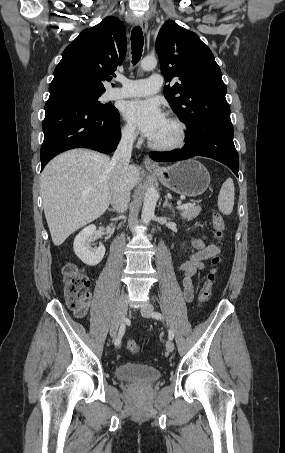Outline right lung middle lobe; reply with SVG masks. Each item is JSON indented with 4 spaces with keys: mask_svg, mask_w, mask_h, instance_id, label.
<instances>
[{
    "mask_svg": "<svg viewBox=\"0 0 285 453\" xmlns=\"http://www.w3.org/2000/svg\"><path fill=\"white\" fill-rule=\"evenodd\" d=\"M73 94L76 98L80 99L84 104H86L91 110L100 114H110L115 112L117 109L108 104H101L99 102V97L102 93H93V92H84V91H72L69 92Z\"/></svg>",
    "mask_w": 285,
    "mask_h": 453,
    "instance_id": "obj_1",
    "label": "right lung middle lobe"
}]
</instances>
